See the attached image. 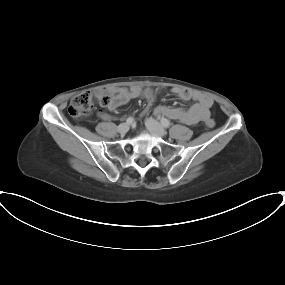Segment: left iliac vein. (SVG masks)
Listing matches in <instances>:
<instances>
[{
  "mask_svg": "<svg viewBox=\"0 0 285 285\" xmlns=\"http://www.w3.org/2000/svg\"><path fill=\"white\" fill-rule=\"evenodd\" d=\"M145 124H146V127L148 128V130L152 133V134H154V135H156V136H158V137H164V136H166V131H165V129L162 127V125L159 123V122H157L155 119H153V118H147L146 119V122H145Z\"/></svg>",
  "mask_w": 285,
  "mask_h": 285,
  "instance_id": "1",
  "label": "left iliac vein"
}]
</instances>
